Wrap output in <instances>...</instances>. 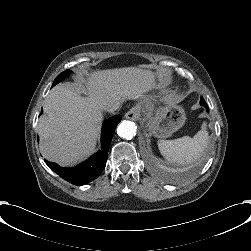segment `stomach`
I'll return each mask as SVG.
<instances>
[{
    "instance_id": "stomach-1",
    "label": "stomach",
    "mask_w": 251,
    "mask_h": 251,
    "mask_svg": "<svg viewBox=\"0 0 251 251\" xmlns=\"http://www.w3.org/2000/svg\"><path fill=\"white\" fill-rule=\"evenodd\" d=\"M147 107V105L142 107L140 116H143L145 129L155 138H169L186 124L187 114L184 106L165 96L153 98V105L150 108L152 112L149 117L146 116Z\"/></svg>"
}]
</instances>
